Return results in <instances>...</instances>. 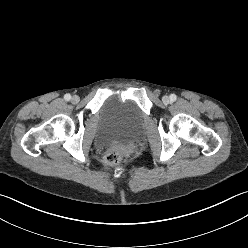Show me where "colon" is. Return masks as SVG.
Masks as SVG:
<instances>
[{"mask_svg": "<svg viewBox=\"0 0 248 248\" xmlns=\"http://www.w3.org/2000/svg\"><path fill=\"white\" fill-rule=\"evenodd\" d=\"M124 154L118 149H112L105 155V163L112 167H117L123 161Z\"/></svg>", "mask_w": 248, "mask_h": 248, "instance_id": "colon-1", "label": "colon"}]
</instances>
